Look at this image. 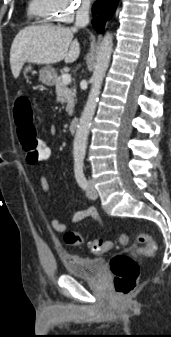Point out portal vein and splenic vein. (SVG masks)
<instances>
[{
  "mask_svg": "<svg viewBox=\"0 0 171 337\" xmlns=\"http://www.w3.org/2000/svg\"><path fill=\"white\" fill-rule=\"evenodd\" d=\"M62 82L64 84H69L71 82V75L70 74H64L63 77H62Z\"/></svg>",
  "mask_w": 171,
  "mask_h": 337,
  "instance_id": "portal-vein-and-splenic-vein-1",
  "label": "portal vein and splenic vein"
}]
</instances>
